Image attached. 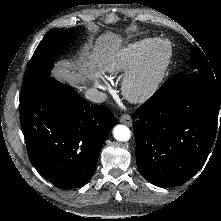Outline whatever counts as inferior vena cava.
Segmentation results:
<instances>
[{
    "mask_svg": "<svg viewBox=\"0 0 221 221\" xmlns=\"http://www.w3.org/2000/svg\"><path fill=\"white\" fill-rule=\"evenodd\" d=\"M85 96L88 100L95 102V103H101L104 102L107 99V95L103 92L98 91L97 89H88L85 92Z\"/></svg>",
    "mask_w": 221,
    "mask_h": 221,
    "instance_id": "602c4592",
    "label": "inferior vena cava"
}]
</instances>
